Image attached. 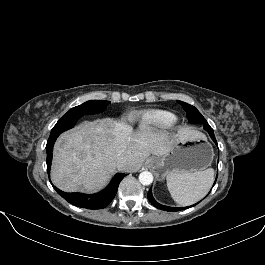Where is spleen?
Segmentation results:
<instances>
[{"label":"spleen","mask_w":265,"mask_h":265,"mask_svg":"<svg viewBox=\"0 0 265 265\" xmlns=\"http://www.w3.org/2000/svg\"><path fill=\"white\" fill-rule=\"evenodd\" d=\"M168 190L179 205L188 206L202 199L214 181V169L194 173H170L166 177Z\"/></svg>","instance_id":"3e777b00"}]
</instances>
